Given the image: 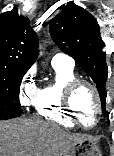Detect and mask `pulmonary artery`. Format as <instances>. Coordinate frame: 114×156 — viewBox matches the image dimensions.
I'll use <instances>...</instances> for the list:
<instances>
[{
  "instance_id": "1",
  "label": "pulmonary artery",
  "mask_w": 114,
  "mask_h": 156,
  "mask_svg": "<svg viewBox=\"0 0 114 156\" xmlns=\"http://www.w3.org/2000/svg\"><path fill=\"white\" fill-rule=\"evenodd\" d=\"M51 63L54 66L61 65L70 68H73L75 64L73 58L64 53H56L53 56Z\"/></svg>"
}]
</instances>
